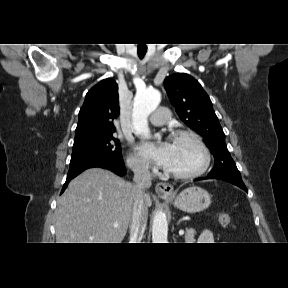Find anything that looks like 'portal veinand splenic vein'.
<instances>
[{
    "label": "portal vein and splenic vein",
    "instance_id": "obj_1",
    "mask_svg": "<svg viewBox=\"0 0 288 288\" xmlns=\"http://www.w3.org/2000/svg\"><path fill=\"white\" fill-rule=\"evenodd\" d=\"M114 227H118V224L115 223V224H114ZM183 234H184V231H183V230H180V231H179V235H183Z\"/></svg>",
    "mask_w": 288,
    "mask_h": 288
}]
</instances>
